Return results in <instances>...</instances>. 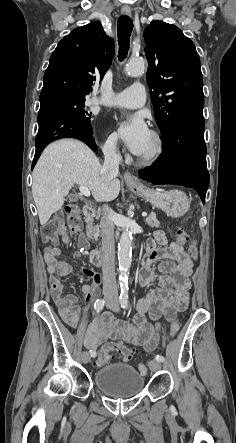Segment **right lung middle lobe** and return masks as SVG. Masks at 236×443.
I'll list each match as a JSON object with an SVG mask.
<instances>
[{
  "instance_id": "1",
  "label": "right lung middle lobe",
  "mask_w": 236,
  "mask_h": 443,
  "mask_svg": "<svg viewBox=\"0 0 236 443\" xmlns=\"http://www.w3.org/2000/svg\"><path fill=\"white\" fill-rule=\"evenodd\" d=\"M45 102L59 103L65 106L69 111H71L73 114L80 117L81 119L87 122H91L90 121L91 113H88L87 111L84 110L85 96L74 95V94H56L47 98L44 101H41V103Z\"/></svg>"
}]
</instances>
